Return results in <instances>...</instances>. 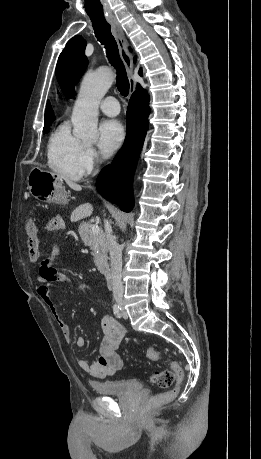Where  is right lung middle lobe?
Returning <instances> with one entry per match:
<instances>
[{
    "mask_svg": "<svg viewBox=\"0 0 261 459\" xmlns=\"http://www.w3.org/2000/svg\"><path fill=\"white\" fill-rule=\"evenodd\" d=\"M50 130V124H45L44 125V129H43V133H48Z\"/></svg>",
    "mask_w": 261,
    "mask_h": 459,
    "instance_id": "dd1d6c3e",
    "label": "right lung middle lobe"
}]
</instances>
